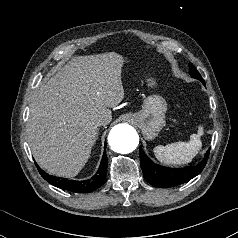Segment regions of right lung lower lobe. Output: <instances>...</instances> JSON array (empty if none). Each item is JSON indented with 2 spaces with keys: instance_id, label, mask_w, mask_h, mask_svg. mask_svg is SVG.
Instances as JSON below:
<instances>
[{
  "instance_id": "obj_1",
  "label": "right lung lower lobe",
  "mask_w": 238,
  "mask_h": 238,
  "mask_svg": "<svg viewBox=\"0 0 238 238\" xmlns=\"http://www.w3.org/2000/svg\"><path fill=\"white\" fill-rule=\"evenodd\" d=\"M107 161L108 160H107L106 150H104L101 164L97 173L91 179L84 180V181H74V180H69L65 178L51 176L47 174L46 172H44L43 170H41L37 164L36 166L41 176L53 186L58 187L60 189L68 190L71 192L89 193L96 190L97 188H99L106 182Z\"/></svg>"
}]
</instances>
